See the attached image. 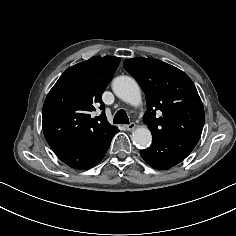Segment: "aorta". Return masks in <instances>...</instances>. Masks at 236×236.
Returning a JSON list of instances; mask_svg holds the SVG:
<instances>
[{
	"label": "aorta",
	"mask_w": 236,
	"mask_h": 236,
	"mask_svg": "<svg viewBox=\"0 0 236 236\" xmlns=\"http://www.w3.org/2000/svg\"><path fill=\"white\" fill-rule=\"evenodd\" d=\"M115 95L126 103L138 106L141 103V91L137 82L129 76H119L112 82ZM134 143L146 148L151 144L152 135L147 127H140L132 133Z\"/></svg>",
	"instance_id": "obj_1"
}]
</instances>
